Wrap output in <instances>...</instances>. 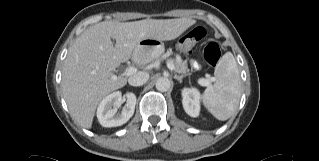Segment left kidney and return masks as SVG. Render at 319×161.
<instances>
[{
  "instance_id": "obj_1",
  "label": "left kidney",
  "mask_w": 319,
  "mask_h": 161,
  "mask_svg": "<svg viewBox=\"0 0 319 161\" xmlns=\"http://www.w3.org/2000/svg\"><path fill=\"white\" fill-rule=\"evenodd\" d=\"M182 104L185 112L191 117H197L200 112V93L196 88L182 90Z\"/></svg>"
}]
</instances>
